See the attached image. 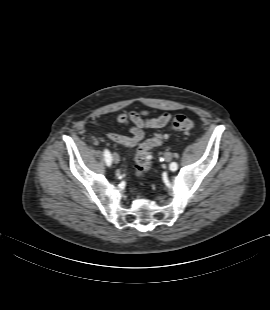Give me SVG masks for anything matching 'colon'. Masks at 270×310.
Masks as SVG:
<instances>
[{
    "label": "colon",
    "instance_id": "1",
    "mask_svg": "<svg viewBox=\"0 0 270 310\" xmlns=\"http://www.w3.org/2000/svg\"><path fill=\"white\" fill-rule=\"evenodd\" d=\"M194 127V122L192 119L185 115H176L171 121V129L178 132L188 133ZM166 134L157 133L154 136L148 138L147 140L139 143L136 155V176L142 178L147 172L152 168V149L160 145Z\"/></svg>",
    "mask_w": 270,
    "mask_h": 310
}]
</instances>
